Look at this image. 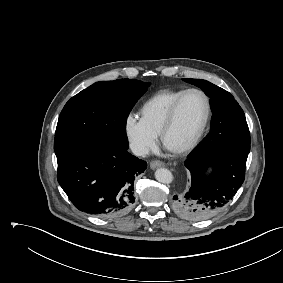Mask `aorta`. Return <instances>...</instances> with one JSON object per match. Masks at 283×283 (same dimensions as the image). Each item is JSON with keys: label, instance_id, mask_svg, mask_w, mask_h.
I'll return each mask as SVG.
<instances>
[{"label": "aorta", "instance_id": "762f6f07", "mask_svg": "<svg viewBox=\"0 0 283 283\" xmlns=\"http://www.w3.org/2000/svg\"><path fill=\"white\" fill-rule=\"evenodd\" d=\"M155 178L160 183L169 184L173 180V175L168 169L159 168L155 172Z\"/></svg>", "mask_w": 283, "mask_h": 283}]
</instances>
